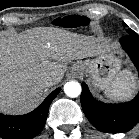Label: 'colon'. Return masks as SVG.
<instances>
[{"mask_svg": "<svg viewBox=\"0 0 139 139\" xmlns=\"http://www.w3.org/2000/svg\"><path fill=\"white\" fill-rule=\"evenodd\" d=\"M84 18L78 17V16H65V17H59L54 20V24L58 26H63V27H77L79 25H83L84 23Z\"/></svg>", "mask_w": 139, "mask_h": 139, "instance_id": "colon-1", "label": "colon"}]
</instances>
